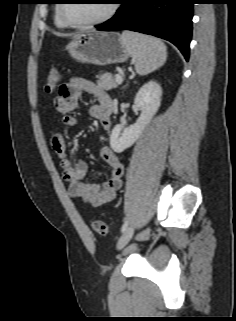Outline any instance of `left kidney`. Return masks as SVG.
I'll return each mask as SVG.
<instances>
[{"label": "left kidney", "mask_w": 236, "mask_h": 321, "mask_svg": "<svg viewBox=\"0 0 236 321\" xmlns=\"http://www.w3.org/2000/svg\"><path fill=\"white\" fill-rule=\"evenodd\" d=\"M161 96L162 88L155 81H150L140 88L134 99L136 107L141 110L136 123L129 127L118 124L110 135V146L115 152L120 153L135 143L158 111Z\"/></svg>", "instance_id": "obj_1"}]
</instances>
